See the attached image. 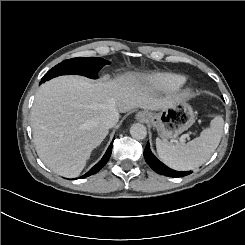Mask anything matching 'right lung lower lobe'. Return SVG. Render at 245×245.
<instances>
[{"mask_svg": "<svg viewBox=\"0 0 245 245\" xmlns=\"http://www.w3.org/2000/svg\"><path fill=\"white\" fill-rule=\"evenodd\" d=\"M113 142L108 147L106 153L104 154L103 158L94 166L92 167L85 175L79 177V178H85L88 176H91L95 173H97L109 160L112 152Z\"/></svg>", "mask_w": 245, "mask_h": 245, "instance_id": "98d812e1", "label": "right lung lower lobe"}]
</instances>
